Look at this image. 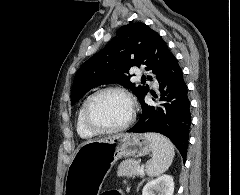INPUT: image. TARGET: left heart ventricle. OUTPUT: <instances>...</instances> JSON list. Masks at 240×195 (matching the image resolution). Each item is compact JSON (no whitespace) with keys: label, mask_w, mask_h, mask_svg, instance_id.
Returning <instances> with one entry per match:
<instances>
[{"label":"left heart ventricle","mask_w":240,"mask_h":195,"mask_svg":"<svg viewBox=\"0 0 240 195\" xmlns=\"http://www.w3.org/2000/svg\"><path fill=\"white\" fill-rule=\"evenodd\" d=\"M93 121L101 127H117L131 115V105L126 97L117 93L101 96L91 110Z\"/></svg>","instance_id":"1"}]
</instances>
